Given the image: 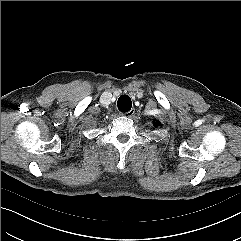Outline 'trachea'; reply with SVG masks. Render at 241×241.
<instances>
[{
    "label": "trachea",
    "instance_id": "1",
    "mask_svg": "<svg viewBox=\"0 0 241 241\" xmlns=\"http://www.w3.org/2000/svg\"><path fill=\"white\" fill-rule=\"evenodd\" d=\"M117 106L121 112H128L131 110L132 101L128 95H121L118 99Z\"/></svg>",
    "mask_w": 241,
    "mask_h": 241
}]
</instances>
